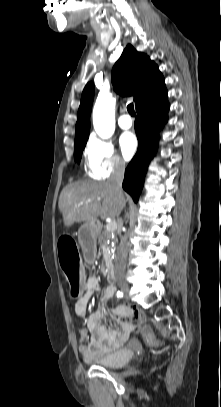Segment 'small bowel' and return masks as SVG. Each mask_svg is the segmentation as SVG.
Wrapping results in <instances>:
<instances>
[{
  "label": "small bowel",
  "mask_w": 221,
  "mask_h": 407,
  "mask_svg": "<svg viewBox=\"0 0 221 407\" xmlns=\"http://www.w3.org/2000/svg\"><path fill=\"white\" fill-rule=\"evenodd\" d=\"M99 280L95 276H90L85 281L83 294L75 304L76 315L85 320L87 329H81L79 339V353L85 359L102 356L119 348L128 340L130 334L137 330L138 324L144 321V314L141 310L126 305H119L105 311L104 305L111 299L116 287L109 285L102 299L101 306L88 315V303L94 293L98 290ZM109 321L111 328L102 324ZM90 333V341L86 342Z\"/></svg>",
  "instance_id": "1"
}]
</instances>
